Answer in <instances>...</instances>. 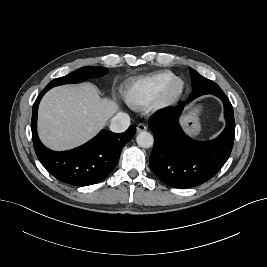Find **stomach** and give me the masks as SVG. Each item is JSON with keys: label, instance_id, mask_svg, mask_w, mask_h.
I'll return each instance as SVG.
<instances>
[{"label": "stomach", "instance_id": "0dacf381", "mask_svg": "<svg viewBox=\"0 0 267 267\" xmlns=\"http://www.w3.org/2000/svg\"><path fill=\"white\" fill-rule=\"evenodd\" d=\"M201 111H202V105L194 104L190 106L187 113L182 119V125L185 131L193 137H197L201 132V123H200Z\"/></svg>", "mask_w": 267, "mask_h": 267}]
</instances>
